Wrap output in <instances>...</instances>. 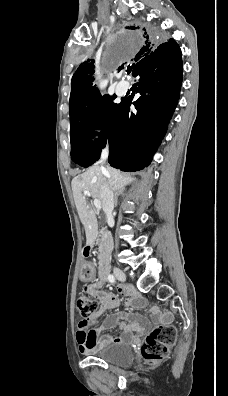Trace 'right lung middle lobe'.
Segmentation results:
<instances>
[{
    "instance_id": "obj_1",
    "label": "right lung middle lobe",
    "mask_w": 228,
    "mask_h": 396,
    "mask_svg": "<svg viewBox=\"0 0 228 396\" xmlns=\"http://www.w3.org/2000/svg\"><path fill=\"white\" fill-rule=\"evenodd\" d=\"M115 98L116 95L101 96L84 111L70 118L71 159L75 163L88 167L99 159L120 105L112 103ZM94 129H101L102 134L92 142Z\"/></svg>"
}]
</instances>
